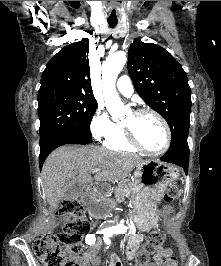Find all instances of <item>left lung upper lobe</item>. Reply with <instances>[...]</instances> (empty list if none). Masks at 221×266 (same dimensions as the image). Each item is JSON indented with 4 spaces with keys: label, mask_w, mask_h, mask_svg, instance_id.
Instances as JSON below:
<instances>
[{
    "label": "left lung upper lobe",
    "mask_w": 221,
    "mask_h": 266,
    "mask_svg": "<svg viewBox=\"0 0 221 266\" xmlns=\"http://www.w3.org/2000/svg\"><path fill=\"white\" fill-rule=\"evenodd\" d=\"M127 68L141 98L167 121L170 148L187 142L191 89L182 66L161 46L135 40L129 47Z\"/></svg>",
    "instance_id": "obj_1"
}]
</instances>
